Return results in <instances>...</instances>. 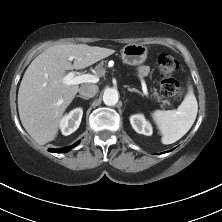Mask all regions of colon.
<instances>
[{
    "instance_id": "1",
    "label": "colon",
    "mask_w": 222,
    "mask_h": 222,
    "mask_svg": "<svg viewBox=\"0 0 222 222\" xmlns=\"http://www.w3.org/2000/svg\"><path fill=\"white\" fill-rule=\"evenodd\" d=\"M157 65L163 75L160 82L162 96L176 101L180 100L184 90L180 83L172 77L179 70L178 61L169 54H160L157 58Z\"/></svg>"
}]
</instances>
